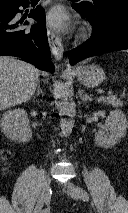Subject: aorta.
Here are the masks:
<instances>
[{"label": "aorta", "instance_id": "1", "mask_svg": "<svg viewBox=\"0 0 128 213\" xmlns=\"http://www.w3.org/2000/svg\"><path fill=\"white\" fill-rule=\"evenodd\" d=\"M61 103L59 108V115L61 116L60 127L63 136L67 137L71 134L74 127V119L76 109L75 103L70 98V92L64 89L61 92Z\"/></svg>", "mask_w": 128, "mask_h": 213}]
</instances>
